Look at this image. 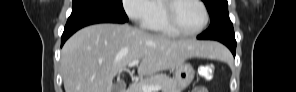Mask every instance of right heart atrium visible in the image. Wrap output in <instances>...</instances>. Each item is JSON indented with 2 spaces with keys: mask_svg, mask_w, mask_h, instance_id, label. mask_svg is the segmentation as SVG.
I'll return each instance as SVG.
<instances>
[{
  "mask_svg": "<svg viewBox=\"0 0 296 92\" xmlns=\"http://www.w3.org/2000/svg\"><path fill=\"white\" fill-rule=\"evenodd\" d=\"M123 6L130 20L141 26H146L154 15L153 1L150 0H125Z\"/></svg>",
  "mask_w": 296,
  "mask_h": 92,
  "instance_id": "right-heart-atrium-1",
  "label": "right heart atrium"
}]
</instances>
